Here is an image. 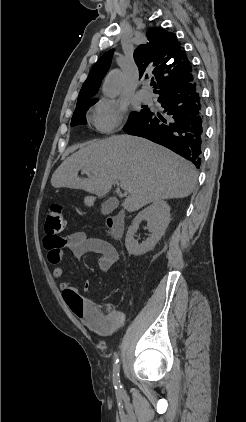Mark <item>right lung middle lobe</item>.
<instances>
[{
    "instance_id": "1",
    "label": "right lung middle lobe",
    "mask_w": 246,
    "mask_h": 422,
    "mask_svg": "<svg viewBox=\"0 0 246 422\" xmlns=\"http://www.w3.org/2000/svg\"><path fill=\"white\" fill-rule=\"evenodd\" d=\"M98 101V100H97ZM97 101H92L83 105L76 107L74 114L71 120V126L79 125V124H86L85 113L89 107L95 104ZM148 109H143L140 112H131L128 118L127 124L125 126L131 125L136 121L140 120L144 116L147 115Z\"/></svg>"
}]
</instances>
